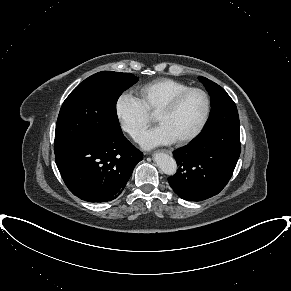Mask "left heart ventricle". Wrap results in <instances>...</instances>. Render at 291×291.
Wrapping results in <instances>:
<instances>
[{"mask_svg": "<svg viewBox=\"0 0 291 291\" xmlns=\"http://www.w3.org/2000/svg\"><path fill=\"white\" fill-rule=\"evenodd\" d=\"M204 107L203 96L192 92L186 95L171 113L156 116V121L165 127L176 141L194 131L201 120Z\"/></svg>", "mask_w": 291, "mask_h": 291, "instance_id": "obj_1", "label": "left heart ventricle"}]
</instances>
